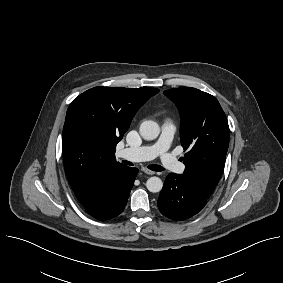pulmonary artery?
Returning <instances> with one entry per match:
<instances>
[{"label":"pulmonary artery","instance_id":"pulmonary-artery-1","mask_svg":"<svg viewBox=\"0 0 283 283\" xmlns=\"http://www.w3.org/2000/svg\"><path fill=\"white\" fill-rule=\"evenodd\" d=\"M175 132V124L170 120H166L161 127V135L156 142L136 148L122 149L118 152V155L123 158L140 161H149L159 157L165 168L174 173L182 174L185 170V165L169 151Z\"/></svg>","mask_w":283,"mask_h":283}]
</instances>
